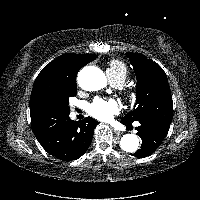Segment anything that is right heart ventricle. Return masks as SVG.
Masks as SVG:
<instances>
[{"label":"right heart ventricle","instance_id":"1","mask_svg":"<svg viewBox=\"0 0 200 200\" xmlns=\"http://www.w3.org/2000/svg\"><path fill=\"white\" fill-rule=\"evenodd\" d=\"M106 73L113 84L122 85L127 79L128 67L123 61L113 59L108 62Z\"/></svg>","mask_w":200,"mask_h":200}]
</instances>
